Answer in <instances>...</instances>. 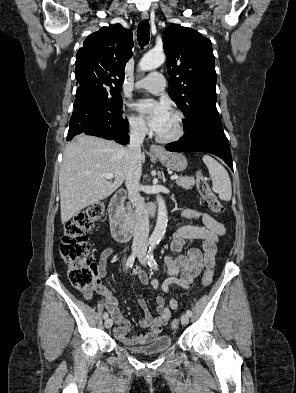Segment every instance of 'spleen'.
<instances>
[{"mask_svg":"<svg viewBox=\"0 0 296 393\" xmlns=\"http://www.w3.org/2000/svg\"><path fill=\"white\" fill-rule=\"evenodd\" d=\"M202 160L208 168L214 190L218 193L219 198L229 201L232 196V187L226 169L211 156L204 155Z\"/></svg>","mask_w":296,"mask_h":393,"instance_id":"obj_1","label":"spleen"}]
</instances>
